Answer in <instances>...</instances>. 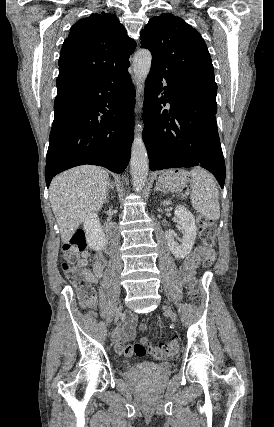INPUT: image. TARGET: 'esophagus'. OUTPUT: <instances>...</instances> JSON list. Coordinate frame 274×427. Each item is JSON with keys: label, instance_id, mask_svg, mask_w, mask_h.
<instances>
[{"label": "esophagus", "instance_id": "esophagus-1", "mask_svg": "<svg viewBox=\"0 0 274 427\" xmlns=\"http://www.w3.org/2000/svg\"><path fill=\"white\" fill-rule=\"evenodd\" d=\"M133 79H134V82L136 83V79H135V77H133Z\"/></svg>", "mask_w": 274, "mask_h": 427}]
</instances>
